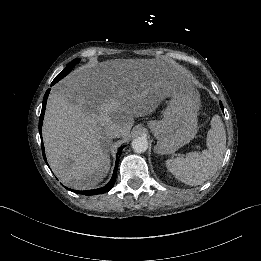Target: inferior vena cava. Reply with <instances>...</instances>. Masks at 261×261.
I'll return each instance as SVG.
<instances>
[{
    "label": "inferior vena cava",
    "mask_w": 261,
    "mask_h": 261,
    "mask_svg": "<svg viewBox=\"0 0 261 261\" xmlns=\"http://www.w3.org/2000/svg\"><path fill=\"white\" fill-rule=\"evenodd\" d=\"M120 133H121V127L117 125L112 126L108 131V135L112 136L113 138L120 137Z\"/></svg>",
    "instance_id": "602c4592"
}]
</instances>
